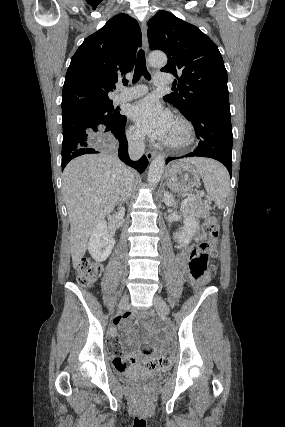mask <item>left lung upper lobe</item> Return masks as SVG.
I'll return each instance as SVG.
<instances>
[{
  "label": "left lung upper lobe",
  "instance_id": "1",
  "mask_svg": "<svg viewBox=\"0 0 285 427\" xmlns=\"http://www.w3.org/2000/svg\"><path fill=\"white\" fill-rule=\"evenodd\" d=\"M151 50H162L168 62L161 71L176 77V93L164 96L184 116L200 107L230 111L227 71L216 44L199 28L160 10L148 22Z\"/></svg>",
  "mask_w": 285,
  "mask_h": 427
}]
</instances>
